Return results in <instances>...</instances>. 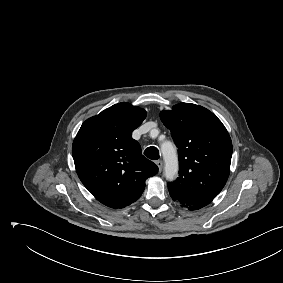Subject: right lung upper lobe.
I'll use <instances>...</instances> for the list:
<instances>
[{
  "label": "right lung upper lobe",
  "instance_id": "cb5924a9",
  "mask_svg": "<svg viewBox=\"0 0 283 283\" xmlns=\"http://www.w3.org/2000/svg\"><path fill=\"white\" fill-rule=\"evenodd\" d=\"M145 117L142 108L115 104L87 119L74 139L72 155L81 182L110 208H124L138 200L146 179L158 172L132 138Z\"/></svg>",
  "mask_w": 283,
  "mask_h": 283
}]
</instances>
